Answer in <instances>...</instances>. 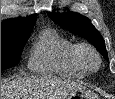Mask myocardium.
Here are the masks:
<instances>
[{
    "label": "myocardium",
    "mask_w": 115,
    "mask_h": 99,
    "mask_svg": "<svg viewBox=\"0 0 115 99\" xmlns=\"http://www.w3.org/2000/svg\"><path fill=\"white\" fill-rule=\"evenodd\" d=\"M91 54L95 60V66H91L87 61V55ZM74 58L77 64L87 73L96 72L101 66V56L99 52L88 43H79L75 45Z\"/></svg>",
    "instance_id": "obj_1"
}]
</instances>
